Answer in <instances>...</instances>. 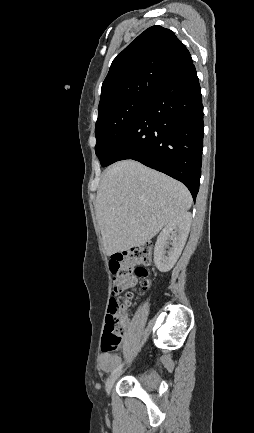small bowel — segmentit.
<instances>
[{"label":"small bowel","mask_w":254,"mask_h":433,"mask_svg":"<svg viewBox=\"0 0 254 433\" xmlns=\"http://www.w3.org/2000/svg\"><path fill=\"white\" fill-rule=\"evenodd\" d=\"M119 363V357L111 353H103L100 357L99 366L103 371H110Z\"/></svg>","instance_id":"1"}]
</instances>
